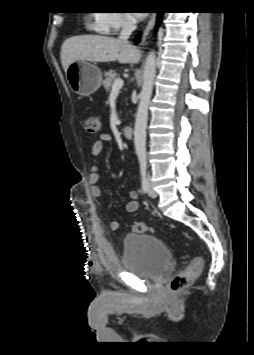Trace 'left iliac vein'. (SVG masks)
<instances>
[{
	"mask_svg": "<svg viewBox=\"0 0 254 355\" xmlns=\"http://www.w3.org/2000/svg\"><path fill=\"white\" fill-rule=\"evenodd\" d=\"M148 195L151 197V198H156L157 197V193L156 191L153 189L152 187V183H151V179L150 177H148Z\"/></svg>",
	"mask_w": 254,
	"mask_h": 355,
	"instance_id": "4c4485c4",
	"label": "left iliac vein"
}]
</instances>
